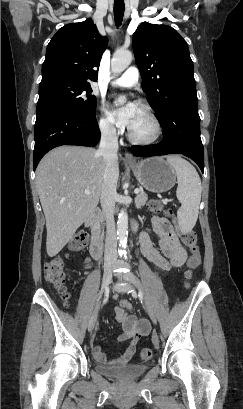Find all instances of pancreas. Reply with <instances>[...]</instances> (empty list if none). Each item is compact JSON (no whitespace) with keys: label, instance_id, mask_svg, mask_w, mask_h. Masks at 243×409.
<instances>
[{"label":"pancreas","instance_id":"obj_1","mask_svg":"<svg viewBox=\"0 0 243 409\" xmlns=\"http://www.w3.org/2000/svg\"><path fill=\"white\" fill-rule=\"evenodd\" d=\"M147 200H148L147 194L144 191H140V193L137 194L135 198V207L137 209H141L142 207L145 206Z\"/></svg>","mask_w":243,"mask_h":409}]
</instances>
